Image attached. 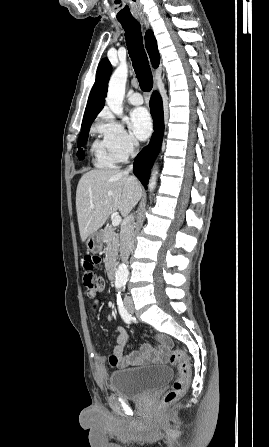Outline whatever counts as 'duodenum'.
I'll return each mask as SVG.
<instances>
[{
	"label": "duodenum",
	"instance_id": "1",
	"mask_svg": "<svg viewBox=\"0 0 269 447\" xmlns=\"http://www.w3.org/2000/svg\"><path fill=\"white\" fill-rule=\"evenodd\" d=\"M107 276L110 280H114L116 277V266L114 261H109L106 266Z\"/></svg>",
	"mask_w": 269,
	"mask_h": 447
}]
</instances>
